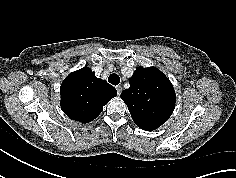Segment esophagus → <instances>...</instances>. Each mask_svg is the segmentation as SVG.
Masks as SVG:
<instances>
[{"label":"esophagus","mask_w":236,"mask_h":178,"mask_svg":"<svg viewBox=\"0 0 236 178\" xmlns=\"http://www.w3.org/2000/svg\"><path fill=\"white\" fill-rule=\"evenodd\" d=\"M116 90H117L118 95H120L122 92V87L120 85H118V86H116Z\"/></svg>","instance_id":"34e87169"}]
</instances>
